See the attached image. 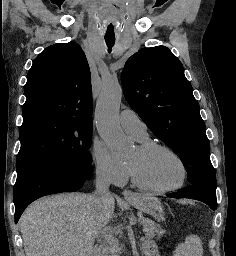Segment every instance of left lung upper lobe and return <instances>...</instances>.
I'll return each instance as SVG.
<instances>
[{"instance_id":"obj_1","label":"left lung upper lobe","mask_w":236,"mask_h":256,"mask_svg":"<svg viewBox=\"0 0 236 256\" xmlns=\"http://www.w3.org/2000/svg\"><path fill=\"white\" fill-rule=\"evenodd\" d=\"M121 81L130 106L182 160L189 183L216 187L206 127L180 60L165 46L141 49Z\"/></svg>"}]
</instances>
